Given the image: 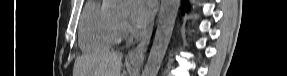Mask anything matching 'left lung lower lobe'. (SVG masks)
<instances>
[{
	"label": "left lung lower lobe",
	"instance_id": "left-lung-lower-lobe-1",
	"mask_svg": "<svg viewBox=\"0 0 287 76\" xmlns=\"http://www.w3.org/2000/svg\"><path fill=\"white\" fill-rule=\"evenodd\" d=\"M187 7H188L187 0H184L182 4L183 10H187Z\"/></svg>",
	"mask_w": 287,
	"mask_h": 76
}]
</instances>
